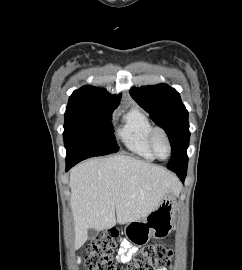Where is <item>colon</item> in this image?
I'll return each mask as SVG.
<instances>
[{"instance_id":"1","label":"colon","mask_w":242,"mask_h":270,"mask_svg":"<svg viewBox=\"0 0 242 270\" xmlns=\"http://www.w3.org/2000/svg\"><path fill=\"white\" fill-rule=\"evenodd\" d=\"M119 231L110 228L88 246L85 265L89 270H159L170 264L172 251L161 244H150L137 253L124 269L113 261L118 246Z\"/></svg>"}]
</instances>
